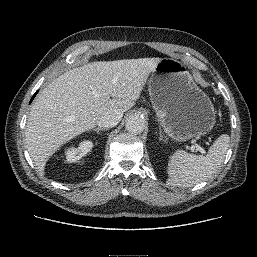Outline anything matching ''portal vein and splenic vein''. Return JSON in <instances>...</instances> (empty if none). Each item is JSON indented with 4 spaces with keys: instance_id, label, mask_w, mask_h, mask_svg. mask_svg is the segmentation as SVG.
I'll use <instances>...</instances> for the list:
<instances>
[{
    "instance_id": "obj_1",
    "label": "portal vein and splenic vein",
    "mask_w": 257,
    "mask_h": 257,
    "mask_svg": "<svg viewBox=\"0 0 257 257\" xmlns=\"http://www.w3.org/2000/svg\"><path fill=\"white\" fill-rule=\"evenodd\" d=\"M195 149H196V151H200L201 153H205V150L197 144H194V145L191 146L192 152H194Z\"/></svg>"
}]
</instances>
